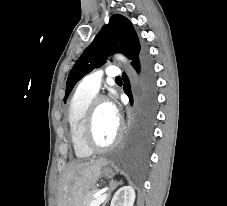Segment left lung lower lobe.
Segmentation results:
<instances>
[{
  "label": "left lung lower lobe",
  "mask_w": 227,
  "mask_h": 206,
  "mask_svg": "<svg viewBox=\"0 0 227 206\" xmlns=\"http://www.w3.org/2000/svg\"><path fill=\"white\" fill-rule=\"evenodd\" d=\"M139 74L140 101L137 131L133 141V148L137 154H142L153 138V128L156 116V85L151 62L146 52L132 63ZM124 91L133 103L128 77L122 75Z\"/></svg>",
  "instance_id": "obj_1"
}]
</instances>
